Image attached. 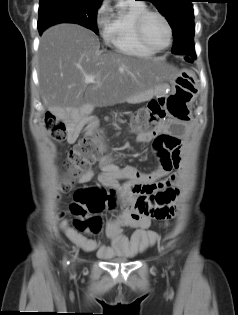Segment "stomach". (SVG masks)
<instances>
[{"instance_id": "obj_1", "label": "stomach", "mask_w": 238, "mask_h": 315, "mask_svg": "<svg viewBox=\"0 0 238 315\" xmlns=\"http://www.w3.org/2000/svg\"><path fill=\"white\" fill-rule=\"evenodd\" d=\"M166 80H169L173 87L165 102L167 116H172L174 122H192V102L199 98L200 90V85L195 84L194 72H177V76H170Z\"/></svg>"}]
</instances>
